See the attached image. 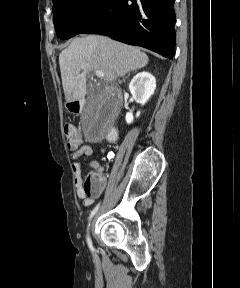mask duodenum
I'll return each instance as SVG.
<instances>
[{"instance_id":"1","label":"duodenum","mask_w":240,"mask_h":288,"mask_svg":"<svg viewBox=\"0 0 240 288\" xmlns=\"http://www.w3.org/2000/svg\"><path fill=\"white\" fill-rule=\"evenodd\" d=\"M116 130L115 129H112L109 134H108V140L109 141H113L115 138H116Z\"/></svg>"}]
</instances>
